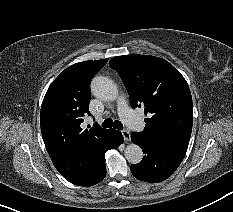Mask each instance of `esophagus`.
Wrapping results in <instances>:
<instances>
[{
  "mask_svg": "<svg viewBox=\"0 0 233 212\" xmlns=\"http://www.w3.org/2000/svg\"><path fill=\"white\" fill-rule=\"evenodd\" d=\"M122 135H123L125 141H127V142L130 141L131 137H130V133L128 130H123Z\"/></svg>",
  "mask_w": 233,
  "mask_h": 212,
  "instance_id": "1",
  "label": "esophagus"
}]
</instances>
